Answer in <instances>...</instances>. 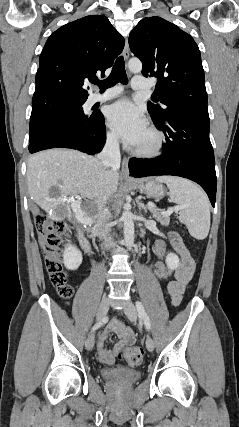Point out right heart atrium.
<instances>
[{"label": "right heart atrium", "mask_w": 239, "mask_h": 427, "mask_svg": "<svg viewBox=\"0 0 239 427\" xmlns=\"http://www.w3.org/2000/svg\"><path fill=\"white\" fill-rule=\"evenodd\" d=\"M106 143L110 148L115 149L118 147V139L113 132H107Z\"/></svg>", "instance_id": "right-heart-atrium-1"}]
</instances>
